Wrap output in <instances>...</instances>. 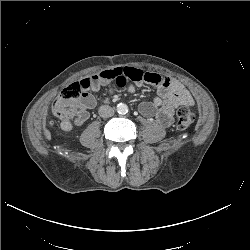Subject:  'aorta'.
Returning a JSON list of instances; mask_svg holds the SVG:
<instances>
[{
	"mask_svg": "<svg viewBox=\"0 0 250 250\" xmlns=\"http://www.w3.org/2000/svg\"><path fill=\"white\" fill-rule=\"evenodd\" d=\"M116 110L119 114H126L128 112V106L124 103H119Z\"/></svg>",
	"mask_w": 250,
	"mask_h": 250,
	"instance_id": "762f6f07",
	"label": "aorta"
}]
</instances>
